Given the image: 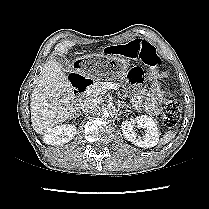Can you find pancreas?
<instances>
[{
    "mask_svg": "<svg viewBox=\"0 0 209 209\" xmlns=\"http://www.w3.org/2000/svg\"><path fill=\"white\" fill-rule=\"evenodd\" d=\"M104 83H105V82H100V81L93 83V85H92V87H91V89H90V92H91L93 95H97V91H96V90H97L99 87H101Z\"/></svg>",
    "mask_w": 209,
    "mask_h": 209,
    "instance_id": "cf45deb5",
    "label": "pancreas"
}]
</instances>
